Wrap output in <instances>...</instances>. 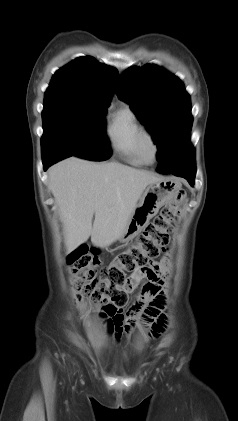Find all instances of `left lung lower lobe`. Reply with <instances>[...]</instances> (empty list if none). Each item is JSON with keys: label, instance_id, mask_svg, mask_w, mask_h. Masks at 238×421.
I'll list each match as a JSON object with an SVG mask.
<instances>
[{"label": "left lung lower lobe", "instance_id": "0a47b994", "mask_svg": "<svg viewBox=\"0 0 238 421\" xmlns=\"http://www.w3.org/2000/svg\"><path fill=\"white\" fill-rule=\"evenodd\" d=\"M168 173H171L175 176L183 177L190 183V185H193L196 175L195 161L181 168L169 170Z\"/></svg>", "mask_w": 238, "mask_h": 421}]
</instances>
